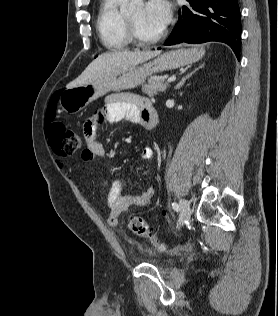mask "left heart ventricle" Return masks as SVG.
I'll return each mask as SVG.
<instances>
[{
    "mask_svg": "<svg viewBox=\"0 0 278 316\" xmlns=\"http://www.w3.org/2000/svg\"><path fill=\"white\" fill-rule=\"evenodd\" d=\"M128 17L134 22L139 33L145 37L150 38L159 34L162 30L151 25L145 17V9L143 6L137 8L135 11L131 12Z\"/></svg>",
    "mask_w": 278,
    "mask_h": 316,
    "instance_id": "left-heart-ventricle-1",
    "label": "left heart ventricle"
}]
</instances>
